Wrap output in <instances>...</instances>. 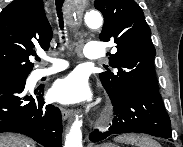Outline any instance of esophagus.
<instances>
[{
	"label": "esophagus",
	"instance_id": "esophagus-1",
	"mask_svg": "<svg viewBox=\"0 0 183 147\" xmlns=\"http://www.w3.org/2000/svg\"><path fill=\"white\" fill-rule=\"evenodd\" d=\"M61 113H62V117L64 120H67L68 118H70L72 116V111L69 110V109H62L61 110Z\"/></svg>",
	"mask_w": 183,
	"mask_h": 147
}]
</instances>
